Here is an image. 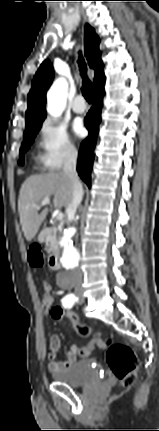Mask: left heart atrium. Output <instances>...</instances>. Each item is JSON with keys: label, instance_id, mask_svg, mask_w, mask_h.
I'll return each mask as SVG.
<instances>
[{"label": "left heart atrium", "instance_id": "obj_1", "mask_svg": "<svg viewBox=\"0 0 159 431\" xmlns=\"http://www.w3.org/2000/svg\"><path fill=\"white\" fill-rule=\"evenodd\" d=\"M73 131L78 137H82L85 134V129L80 121L74 122Z\"/></svg>", "mask_w": 159, "mask_h": 431}]
</instances>
